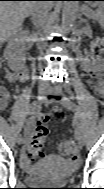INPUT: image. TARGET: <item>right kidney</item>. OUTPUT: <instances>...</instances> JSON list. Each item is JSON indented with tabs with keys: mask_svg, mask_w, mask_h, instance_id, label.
Here are the masks:
<instances>
[{
	"mask_svg": "<svg viewBox=\"0 0 104 189\" xmlns=\"http://www.w3.org/2000/svg\"><path fill=\"white\" fill-rule=\"evenodd\" d=\"M27 39L28 31H21L9 40L4 50V57L10 69L18 70L24 65L26 60L25 44Z\"/></svg>",
	"mask_w": 104,
	"mask_h": 189,
	"instance_id": "obj_1",
	"label": "right kidney"
}]
</instances>
